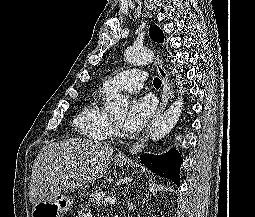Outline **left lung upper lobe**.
I'll return each mask as SVG.
<instances>
[{"label": "left lung upper lobe", "instance_id": "1", "mask_svg": "<svg viewBox=\"0 0 255 217\" xmlns=\"http://www.w3.org/2000/svg\"><path fill=\"white\" fill-rule=\"evenodd\" d=\"M149 35L152 40L155 42L162 43L164 39L163 32L160 28H158L156 25H152L149 29Z\"/></svg>", "mask_w": 255, "mask_h": 217}]
</instances>
